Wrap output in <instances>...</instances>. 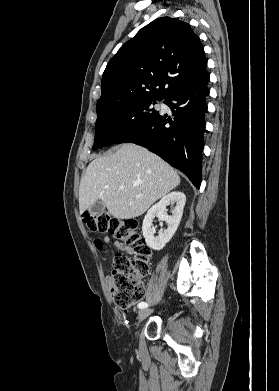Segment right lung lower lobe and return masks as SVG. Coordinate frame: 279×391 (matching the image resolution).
I'll return each mask as SVG.
<instances>
[{
    "label": "right lung lower lobe",
    "mask_w": 279,
    "mask_h": 391,
    "mask_svg": "<svg viewBox=\"0 0 279 391\" xmlns=\"http://www.w3.org/2000/svg\"><path fill=\"white\" fill-rule=\"evenodd\" d=\"M208 81L209 75L205 71L165 99L171 115L158 113L152 120L125 133L115 143L133 142L146 147L184 172L199 188Z\"/></svg>",
    "instance_id": "right-lung-lower-lobe-1"
}]
</instances>
